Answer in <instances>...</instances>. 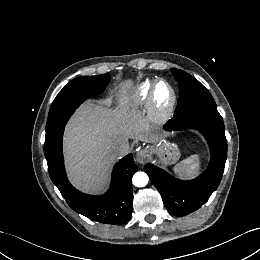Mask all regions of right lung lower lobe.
I'll use <instances>...</instances> for the list:
<instances>
[{
	"label": "right lung lower lobe",
	"mask_w": 260,
	"mask_h": 260,
	"mask_svg": "<svg viewBox=\"0 0 260 260\" xmlns=\"http://www.w3.org/2000/svg\"><path fill=\"white\" fill-rule=\"evenodd\" d=\"M63 131L64 127L51 140H45L44 154L50 178L68 205L77 213L100 223L118 225L127 222L132 213L131 179L137 171L132 154L115 165L111 188L105 195H86L77 191L66 177L62 155Z\"/></svg>",
	"instance_id": "98d812e1"
}]
</instances>
